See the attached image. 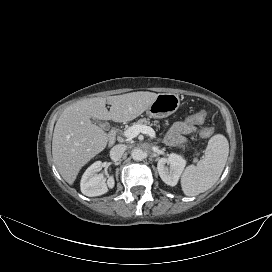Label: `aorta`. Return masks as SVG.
Returning <instances> with one entry per match:
<instances>
[{"instance_id": "aorta-1", "label": "aorta", "mask_w": 272, "mask_h": 272, "mask_svg": "<svg viewBox=\"0 0 272 272\" xmlns=\"http://www.w3.org/2000/svg\"><path fill=\"white\" fill-rule=\"evenodd\" d=\"M131 157L136 161H141L145 158V153L143 150L136 148L131 151Z\"/></svg>"}]
</instances>
